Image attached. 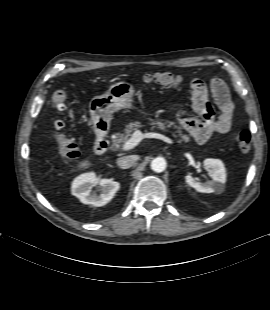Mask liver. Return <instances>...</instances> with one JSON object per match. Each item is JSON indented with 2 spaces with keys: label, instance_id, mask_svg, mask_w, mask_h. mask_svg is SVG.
Listing matches in <instances>:
<instances>
[{
  "label": "liver",
  "instance_id": "1",
  "mask_svg": "<svg viewBox=\"0 0 270 310\" xmlns=\"http://www.w3.org/2000/svg\"><path fill=\"white\" fill-rule=\"evenodd\" d=\"M90 165L91 163L88 160H84L78 164V168H88Z\"/></svg>",
  "mask_w": 270,
  "mask_h": 310
}]
</instances>
